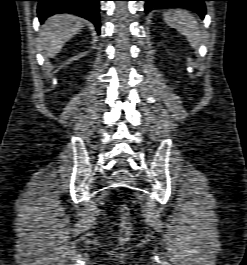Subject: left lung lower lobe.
<instances>
[{"label":"left lung lower lobe","mask_w":247,"mask_h":265,"mask_svg":"<svg viewBox=\"0 0 247 265\" xmlns=\"http://www.w3.org/2000/svg\"><path fill=\"white\" fill-rule=\"evenodd\" d=\"M145 1V11L149 12L153 7L183 6L197 12L202 18L205 16V1L210 0H142Z\"/></svg>","instance_id":"left-lung-lower-lobe-1"}]
</instances>
